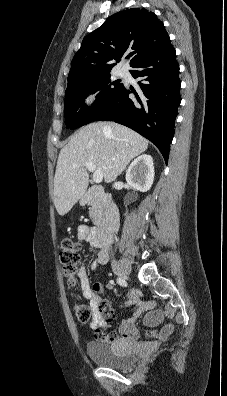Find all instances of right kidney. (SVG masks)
<instances>
[{
    "mask_svg": "<svg viewBox=\"0 0 227 396\" xmlns=\"http://www.w3.org/2000/svg\"><path fill=\"white\" fill-rule=\"evenodd\" d=\"M154 180V164L150 155L143 154L132 161L127 172L126 181L133 188L147 192Z\"/></svg>",
    "mask_w": 227,
    "mask_h": 396,
    "instance_id": "1",
    "label": "right kidney"
}]
</instances>
